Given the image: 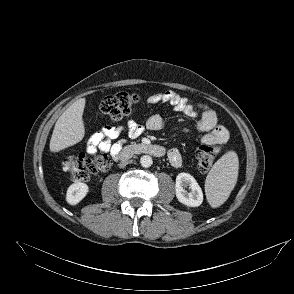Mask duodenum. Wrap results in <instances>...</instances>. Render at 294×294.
Wrapping results in <instances>:
<instances>
[{
	"label": "duodenum",
	"mask_w": 294,
	"mask_h": 294,
	"mask_svg": "<svg viewBox=\"0 0 294 294\" xmlns=\"http://www.w3.org/2000/svg\"><path fill=\"white\" fill-rule=\"evenodd\" d=\"M136 154H148L154 157H162L165 154V149L161 145L139 143L126 146L118 154V160L120 162L128 161L132 156Z\"/></svg>",
	"instance_id": "1"
}]
</instances>
